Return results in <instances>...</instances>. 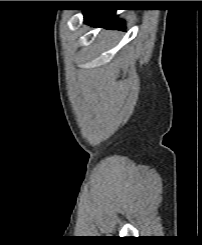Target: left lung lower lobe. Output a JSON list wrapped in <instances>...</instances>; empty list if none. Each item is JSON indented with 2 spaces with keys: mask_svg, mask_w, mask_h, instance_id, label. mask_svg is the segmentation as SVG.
<instances>
[{
  "mask_svg": "<svg viewBox=\"0 0 202 245\" xmlns=\"http://www.w3.org/2000/svg\"><path fill=\"white\" fill-rule=\"evenodd\" d=\"M84 20L92 26H106L110 28L124 29V21L117 20L113 9L84 10Z\"/></svg>",
  "mask_w": 202,
  "mask_h": 245,
  "instance_id": "1",
  "label": "left lung lower lobe"
}]
</instances>
